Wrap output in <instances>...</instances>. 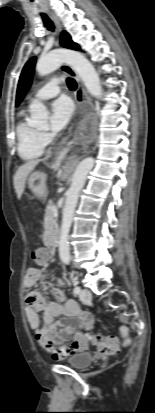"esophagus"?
<instances>
[{
  "mask_svg": "<svg viewBox=\"0 0 155 413\" xmlns=\"http://www.w3.org/2000/svg\"><path fill=\"white\" fill-rule=\"evenodd\" d=\"M52 18L54 20V22L56 23V25L58 26L59 30H62L61 24L59 22V20L52 15ZM61 69L67 73L68 75H70L71 77H73L75 79V81L77 82V90L75 93V100H76V104L77 106L80 107L81 109V113H84L86 111V109L84 108V104H88V105H92L91 99L87 94V91L85 90L79 76L77 75V73L75 72V70L67 65V64H63L61 66ZM71 146V144H69L67 146V148H69Z\"/></svg>",
  "mask_w": 155,
  "mask_h": 413,
  "instance_id": "34e87169",
  "label": "esophagus"
}]
</instances>
